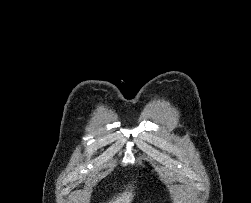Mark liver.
<instances>
[{
  "instance_id": "liver-1",
  "label": "liver",
  "mask_w": 251,
  "mask_h": 203,
  "mask_svg": "<svg viewBox=\"0 0 251 203\" xmlns=\"http://www.w3.org/2000/svg\"><path fill=\"white\" fill-rule=\"evenodd\" d=\"M133 197L132 190L130 192L125 191L121 196L117 197L115 201H110L109 203H130Z\"/></svg>"
}]
</instances>
